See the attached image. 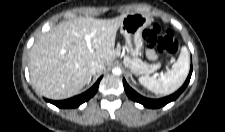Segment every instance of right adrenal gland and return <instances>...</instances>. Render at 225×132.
Masks as SVG:
<instances>
[{
    "label": "right adrenal gland",
    "instance_id": "2a0ac1e0",
    "mask_svg": "<svg viewBox=\"0 0 225 132\" xmlns=\"http://www.w3.org/2000/svg\"><path fill=\"white\" fill-rule=\"evenodd\" d=\"M91 78H92V75H90L87 84H89L91 82Z\"/></svg>",
    "mask_w": 225,
    "mask_h": 132
}]
</instances>
